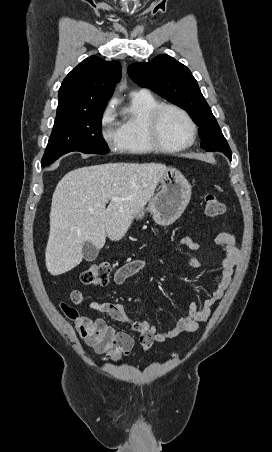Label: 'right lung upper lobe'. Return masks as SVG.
<instances>
[{
    "label": "right lung upper lobe",
    "instance_id": "obj_1",
    "mask_svg": "<svg viewBox=\"0 0 272 452\" xmlns=\"http://www.w3.org/2000/svg\"><path fill=\"white\" fill-rule=\"evenodd\" d=\"M120 78L118 61H105L94 55L86 58L63 80L56 117L105 107Z\"/></svg>",
    "mask_w": 272,
    "mask_h": 452
}]
</instances>
